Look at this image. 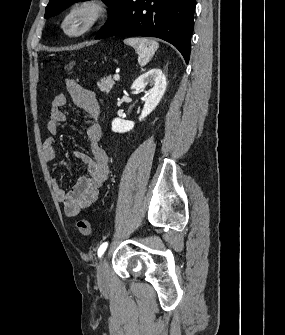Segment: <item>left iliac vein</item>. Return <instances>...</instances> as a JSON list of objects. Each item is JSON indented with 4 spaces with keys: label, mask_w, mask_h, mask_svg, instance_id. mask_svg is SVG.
<instances>
[{
    "label": "left iliac vein",
    "mask_w": 285,
    "mask_h": 335,
    "mask_svg": "<svg viewBox=\"0 0 285 335\" xmlns=\"http://www.w3.org/2000/svg\"><path fill=\"white\" fill-rule=\"evenodd\" d=\"M109 281H110L109 265L107 258L104 257L101 259L98 266V283L101 286H104L107 285Z\"/></svg>",
    "instance_id": "4c4485c4"
}]
</instances>
